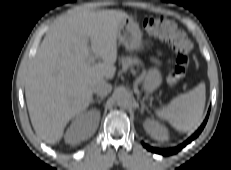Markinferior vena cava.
Masks as SVG:
<instances>
[{
    "label": "inferior vena cava",
    "instance_id": "inferior-vena-cava-1",
    "mask_svg": "<svg viewBox=\"0 0 231 170\" xmlns=\"http://www.w3.org/2000/svg\"><path fill=\"white\" fill-rule=\"evenodd\" d=\"M111 90V84L105 82L104 80L99 81L93 87V92L101 97L108 95L111 92Z\"/></svg>",
    "mask_w": 231,
    "mask_h": 170
}]
</instances>
